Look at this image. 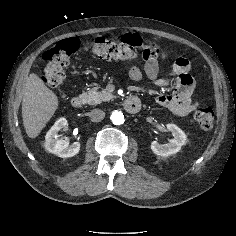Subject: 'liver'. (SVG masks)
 Segmentation results:
<instances>
[{
    "mask_svg": "<svg viewBox=\"0 0 236 236\" xmlns=\"http://www.w3.org/2000/svg\"><path fill=\"white\" fill-rule=\"evenodd\" d=\"M58 97L37 74H30L22 99V117L25 131L36 138L58 108Z\"/></svg>",
    "mask_w": 236,
    "mask_h": 236,
    "instance_id": "obj_1",
    "label": "liver"
}]
</instances>
